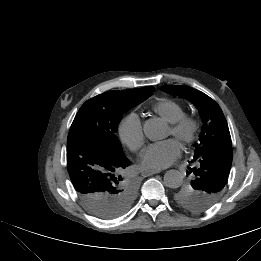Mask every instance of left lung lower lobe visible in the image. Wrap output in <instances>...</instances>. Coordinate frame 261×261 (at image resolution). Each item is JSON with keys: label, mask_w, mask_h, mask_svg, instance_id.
Segmentation results:
<instances>
[{"label": "left lung lower lobe", "mask_w": 261, "mask_h": 261, "mask_svg": "<svg viewBox=\"0 0 261 261\" xmlns=\"http://www.w3.org/2000/svg\"><path fill=\"white\" fill-rule=\"evenodd\" d=\"M204 166H205V168H203V166H201V167L196 168L195 170H194V168H188L189 169L188 174H190V173H192V175L194 174L195 179H202V178L205 179L206 176L210 175V170L208 167H206L208 165H204Z\"/></svg>", "instance_id": "left-lung-lower-lobe-1"}]
</instances>
